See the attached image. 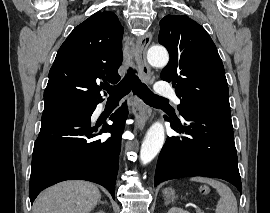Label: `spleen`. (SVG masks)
I'll return each mask as SVG.
<instances>
[{
    "instance_id": "spleen-1",
    "label": "spleen",
    "mask_w": 270,
    "mask_h": 213,
    "mask_svg": "<svg viewBox=\"0 0 270 213\" xmlns=\"http://www.w3.org/2000/svg\"><path fill=\"white\" fill-rule=\"evenodd\" d=\"M191 181L207 183L217 190L220 199L215 213H238L237 200L228 186L217 180L205 177H193Z\"/></svg>"
}]
</instances>
